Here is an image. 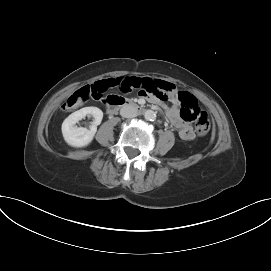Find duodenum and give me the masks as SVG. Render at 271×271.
I'll return each mask as SVG.
<instances>
[{"label": "duodenum", "mask_w": 271, "mask_h": 271, "mask_svg": "<svg viewBox=\"0 0 271 271\" xmlns=\"http://www.w3.org/2000/svg\"><path fill=\"white\" fill-rule=\"evenodd\" d=\"M122 107H131L137 112L143 111L142 106L123 97L113 96L107 102V112L109 114L115 113L119 108Z\"/></svg>", "instance_id": "410a0bca"}]
</instances>
